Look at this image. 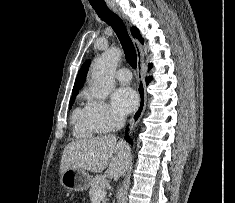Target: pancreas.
<instances>
[{"label":"pancreas","instance_id":"1","mask_svg":"<svg viewBox=\"0 0 235 203\" xmlns=\"http://www.w3.org/2000/svg\"><path fill=\"white\" fill-rule=\"evenodd\" d=\"M108 181L106 180L105 176L103 175H96L91 183V187L89 190L90 198H93L96 191L104 189L107 185ZM107 199H103L102 203H106Z\"/></svg>","mask_w":235,"mask_h":203}]
</instances>
